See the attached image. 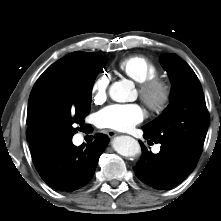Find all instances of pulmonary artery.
Wrapping results in <instances>:
<instances>
[{
    "mask_svg": "<svg viewBox=\"0 0 221 221\" xmlns=\"http://www.w3.org/2000/svg\"><path fill=\"white\" fill-rule=\"evenodd\" d=\"M158 150H159V148L157 147V148H156V151H158Z\"/></svg>",
    "mask_w": 221,
    "mask_h": 221,
    "instance_id": "1",
    "label": "pulmonary artery"
}]
</instances>
